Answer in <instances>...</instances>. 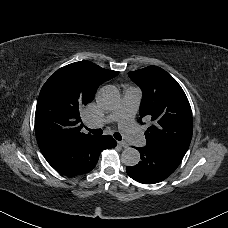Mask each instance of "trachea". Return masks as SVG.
<instances>
[{"instance_id": "obj_1", "label": "trachea", "mask_w": 228, "mask_h": 228, "mask_svg": "<svg viewBox=\"0 0 228 228\" xmlns=\"http://www.w3.org/2000/svg\"><path fill=\"white\" fill-rule=\"evenodd\" d=\"M89 132H91L92 134H95V135H101L103 133V130L102 129H87ZM113 136L115 137V139L117 140H122V136L118 133V132H115L113 134Z\"/></svg>"}]
</instances>
